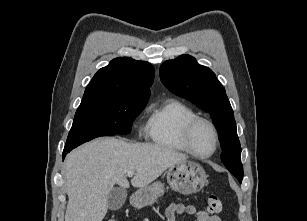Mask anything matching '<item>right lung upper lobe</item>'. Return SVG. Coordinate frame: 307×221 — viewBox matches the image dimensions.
I'll return each mask as SVG.
<instances>
[{
	"mask_svg": "<svg viewBox=\"0 0 307 221\" xmlns=\"http://www.w3.org/2000/svg\"><path fill=\"white\" fill-rule=\"evenodd\" d=\"M153 80L154 68L150 63L118 57L98 70L86 87L82 102L110 96L149 99Z\"/></svg>",
	"mask_w": 307,
	"mask_h": 221,
	"instance_id": "1",
	"label": "right lung upper lobe"
}]
</instances>
